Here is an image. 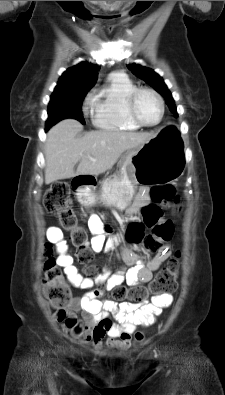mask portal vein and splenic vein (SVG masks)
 Wrapping results in <instances>:
<instances>
[{
	"instance_id": "obj_1",
	"label": "portal vein and splenic vein",
	"mask_w": 225,
	"mask_h": 395,
	"mask_svg": "<svg viewBox=\"0 0 225 395\" xmlns=\"http://www.w3.org/2000/svg\"><path fill=\"white\" fill-rule=\"evenodd\" d=\"M91 160H94L93 158L89 157Z\"/></svg>"
}]
</instances>
